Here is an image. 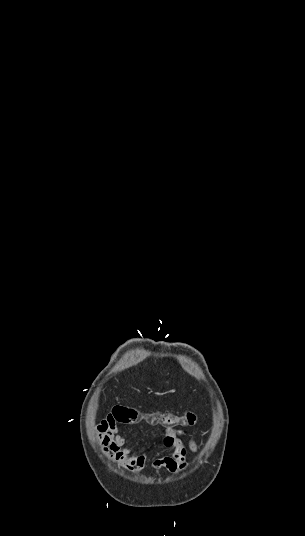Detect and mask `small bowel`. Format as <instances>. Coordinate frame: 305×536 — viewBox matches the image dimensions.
Masks as SVG:
<instances>
[{
  "label": "small bowel",
  "instance_id": "obj_1",
  "mask_svg": "<svg viewBox=\"0 0 305 536\" xmlns=\"http://www.w3.org/2000/svg\"><path fill=\"white\" fill-rule=\"evenodd\" d=\"M162 432L163 445L172 450L171 455L154 459L149 469H166L172 473L184 471L189 465V454L197 452V444L194 440L184 441L181 439L183 432L176 427H158ZM96 442L111 460L117 462L124 469L141 473L147 463V453L136 451L127 445V440L120 434V429L115 425L114 413L105 411L100 424L94 427Z\"/></svg>",
  "mask_w": 305,
  "mask_h": 536
}]
</instances>
